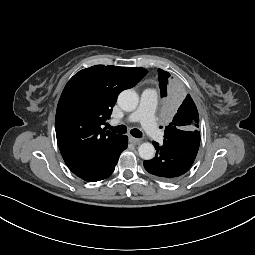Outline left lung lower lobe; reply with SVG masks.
Wrapping results in <instances>:
<instances>
[{
	"instance_id": "obj_1",
	"label": "left lung lower lobe",
	"mask_w": 255,
	"mask_h": 255,
	"mask_svg": "<svg viewBox=\"0 0 255 255\" xmlns=\"http://www.w3.org/2000/svg\"><path fill=\"white\" fill-rule=\"evenodd\" d=\"M153 145L156 155L144 161L146 171L161 181H174L193 164L200 145V132L164 140L163 145L153 141Z\"/></svg>"
}]
</instances>
